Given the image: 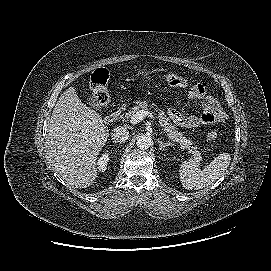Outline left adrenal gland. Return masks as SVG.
Here are the masks:
<instances>
[{"label": "left adrenal gland", "instance_id": "a2214340", "mask_svg": "<svg viewBox=\"0 0 271 271\" xmlns=\"http://www.w3.org/2000/svg\"><path fill=\"white\" fill-rule=\"evenodd\" d=\"M157 142L159 143V149L160 150H165L166 147L170 146V143L162 142L159 139H157Z\"/></svg>", "mask_w": 271, "mask_h": 271}]
</instances>
